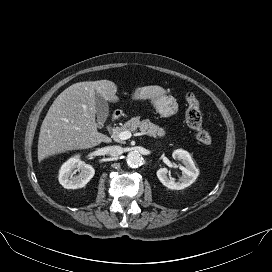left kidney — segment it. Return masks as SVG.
<instances>
[{
    "label": "left kidney",
    "mask_w": 272,
    "mask_h": 272,
    "mask_svg": "<svg viewBox=\"0 0 272 272\" xmlns=\"http://www.w3.org/2000/svg\"><path fill=\"white\" fill-rule=\"evenodd\" d=\"M173 157L183 163L184 166H180L183 172V177L179 181L174 182L168 176V169L163 167L157 171V177L160 182L171 190H182L190 186L199 175V170L195 166L190 154L182 149L174 150Z\"/></svg>",
    "instance_id": "5707ae66"
}]
</instances>
